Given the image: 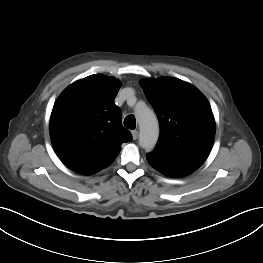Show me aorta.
<instances>
[{
  "label": "aorta",
  "instance_id": "1",
  "mask_svg": "<svg viewBox=\"0 0 263 263\" xmlns=\"http://www.w3.org/2000/svg\"><path fill=\"white\" fill-rule=\"evenodd\" d=\"M136 118L140 128L139 145L145 150H151L159 137V123L156 114L147 106L137 108Z\"/></svg>",
  "mask_w": 263,
  "mask_h": 263
}]
</instances>
